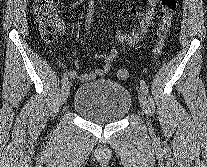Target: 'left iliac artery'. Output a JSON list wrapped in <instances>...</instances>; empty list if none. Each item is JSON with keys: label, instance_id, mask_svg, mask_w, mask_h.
<instances>
[{"label": "left iliac artery", "instance_id": "obj_1", "mask_svg": "<svg viewBox=\"0 0 207 167\" xmlns=\"http://www.w3.org/2000/svg\"><path fill=\"white\" fill-rule=\"evenodd\" d=\"M140 84H141V88L143 89L145 94H148V86H147L146 82L143 79H141Z\"/></svg>", "mask_w": 207, "mask_h": 167}]
</instances>
